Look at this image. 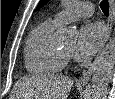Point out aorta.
I'll list each match as a JSON object with an SVG mask.
<instances>
[{
    "label": "aorta",
    "mask_w": 115,
    "mask_h": 99,
    "mask_svg": "<svg viewBox=\"0 0 115 99\" xmlns=\"http://www.w3.org/2000/svg\"><path fill=\"white\" fill-rule=\"evenodd\" d=\"M65 4H70L71 1H64ZM57 36L63 44L73 41L75 32L72 29L62 28L57 31ZM115 63V38L110 41L103 49L101 54L95 61L92 86L90 90V99H105L109 77Z\"/></svg>",
    "instance_id": "aorta-1"
}]
</instances>
